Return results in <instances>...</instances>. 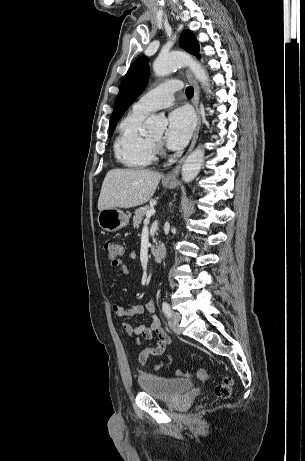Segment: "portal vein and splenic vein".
I'll use <instances>...</instances> for the list:
<instances>
[{"mask_svg": "<svg viewBox=\"0 0 305 461\" xmlns=\"http://www.w3.org/2000/svg\"><path fill=\"white\" fill-rule=\"evenodd\" d=\"M155 212H156V211L153 210V209H152V210H149V211L147 212L146 218H145V220H144V224H148V223H149L151 216L154 215Z\"/></svg>", "mask_w": 305, "mask_h": 461, "instance_id": "portal-vein-and-splenic-vein-1", "label": "portal vein and splenic vein"}]
</instances>
